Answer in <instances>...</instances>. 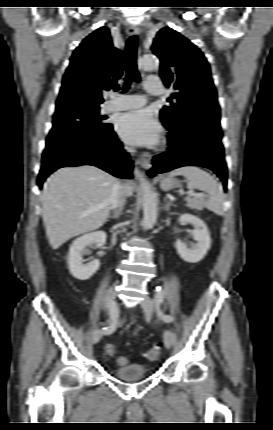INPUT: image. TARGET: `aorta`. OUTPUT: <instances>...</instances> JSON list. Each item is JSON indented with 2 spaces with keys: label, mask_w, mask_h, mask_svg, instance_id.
Segmentation results:
<instances>
[{
  "label": "aorta",
  "mask_w": 273,
  "mask_h": 430,
  "mask_svg": "<svg viewBox=\"0 0 273 430\" xmlns=\"http://www.w3.org/2000/svg\"><path fill=\"white\" fill-rule=\"evenodd\" d=\"M158 59L154 54L145 55L140 60V67L144 71H153L158 68ZM135 177H137L141 183L143 190V211L144 217L142 221V227L144 230H149L153 228L157 221V198L152 191L151 187L146 183L142 173L134 168L133 171Z\"/></svg>",
  "instance_id": "762f6f07"
}]
</instances>
